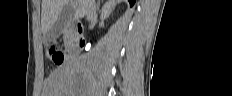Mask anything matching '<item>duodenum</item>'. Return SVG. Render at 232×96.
Wrapping results in <instances>:
<instances>
[{"label": "duodenum", "mask_w": 232, "mask_h": 96, "mask_svg": "<svg viewBox=\"0 0 232 96\" xmlns=\"http://www.w3.org/2000/svg\"><path fill=\"white\" fill-rule=\"evenodd\" d=\"M82 26L81 24H73L67 26L64 29V34L68 36L72 43L65 51V57L67 60L75 59L84 48V40L81 37Z\"/></svg>", "instance_id": "410a0bca"}]
</instances>
